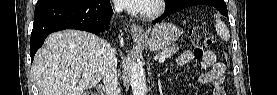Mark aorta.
<instances>
[{"label":"aorta","mask_w":277,"mask_h":95,"mask_svg":"<svg viewBox=\"0 0 277 95\" xmlns=\"http://www.w3.org/2000/svg\"><path fill=\"white\" fill-rule=\"evenodd\" d=\"M130 85L133 95H146V77L143 65L139 61H134L130 68Z\"/></svg>","instance_id":"1"}]
</instances>
